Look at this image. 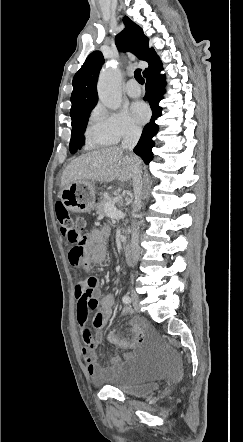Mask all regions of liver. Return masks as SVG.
<instances>
[{"mask_svg": "<svg viewBox=\"0 0 243 442\" xmlns=\"http://www.w3.org/2000/svg\"><path fill=\"white\" fill-rule=\"evenodd\" d=\"M138 158L126 154L119 147H107L94 150L73 160L64 170L61 187L77 181L121 182L133 178Z\"/></svg>", "mask_w": 243, "mask_h": 442, "instance_id": "1", "label": "liver"}]
</instances>
